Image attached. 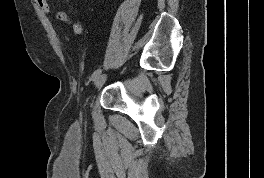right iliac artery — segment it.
Listing matches in <instances>:
<instances>
[{
    "mask_svg": "<svg viewBox=\"0 0 264 178\" xmlns=\"http://www.w3.org/2000/svg\"><path fill=\"white\" fill-rule=\"evenodd\" d=\"M101 73V69H97L93 74H92V78L94 79L95 77H97L98 75H100Z\"/></svg>",
    "mask_w": 264,
    "mask_h": 178,
    "instance_id": "1",
    "label": "right iliac artery"
}]
</instances>
